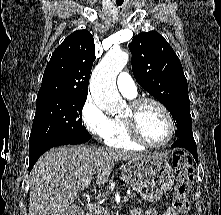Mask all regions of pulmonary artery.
<instances>
[{
    "label": "pulmonary artery",
    "mask_w": 221,
    "mask_h": 215,
    "mask_svg": "<svg viewBox=\"0 0 221 215\" xmlns=\"http://www.w3.org/2000/svg\"><path fill=\"white\" fill-rule=\"evenodd\" d=\"M117 87L119 91L127 97H134L137 95L138 92L136 83L126 72H122L119 74L117 78Z\"/></svg>",
    "instance_id": "e3ab8cb5"
}]
</instances>
